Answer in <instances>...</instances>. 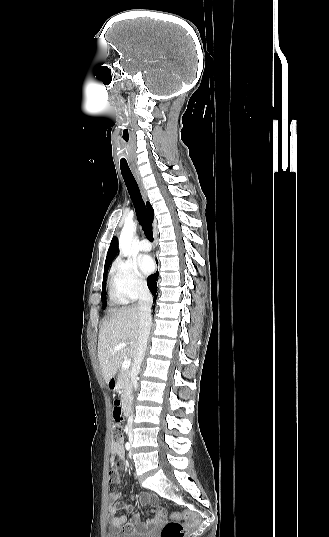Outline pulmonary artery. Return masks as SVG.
I'll return each mask as SVG.
<instances>
[{"label":"pulmonary artery","mask_w":329,"mask_h":537,"mask_svg":"<svg viewBox=\"0 0 329 537\" xmlns=\"http://www.w3.org/2000/svg\"><path fill=\"white\" fill-rule=\"evenodd\" d=\"M139 249L143 252H148L151 250V244L148 240L146 239H143L140 243H139Z\"/></svg>","instance_id":"1"}]
</instances>
